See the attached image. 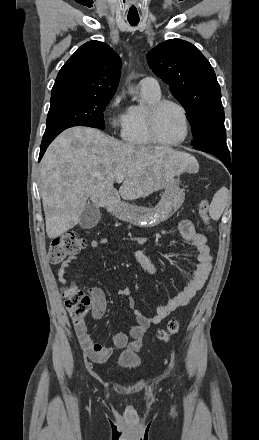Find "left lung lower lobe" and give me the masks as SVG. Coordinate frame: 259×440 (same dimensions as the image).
I'll return each mask as SVG.
<instances>
[{
	"mask_svg": "<svg viewBox=\"0 0 259 440\" xmlns=\"http://www.w3.org/2000/svg\"><path fill=\"white\" fill-rule=\"evenodd\" d=\"M195 149L210 153L219 158L224 165L229 169L231 166L230 154L226 142H209L197 146H193Z\"/></svg>",
	"mask_w": 259,
	"mask_h": 440,
	"instance_id": "left-lung-lower-lobe-1",
	"label": "left lung lower lobe"
}]
</instances>
